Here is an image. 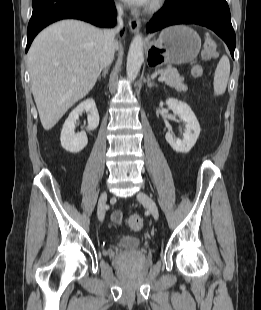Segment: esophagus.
Listing matches in <instances>:
<instances>
[{"label":"esophagus","instance_id":"1","mask_svg":"<svg viewBox=\"0 0 261 310\" xmlns=\"http://www.w3.org/2000/svg\"><path fill=\"white\" fill-rule=\"evenodd\" d=\"M129 27L132 33L138 32L140 28V20L136 18H132L129 20Z\"/></svg>","mask_w":261,"mask_h":310}]
</instances>
